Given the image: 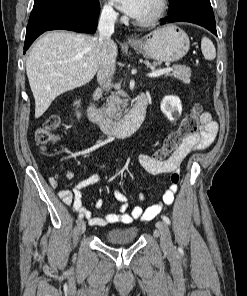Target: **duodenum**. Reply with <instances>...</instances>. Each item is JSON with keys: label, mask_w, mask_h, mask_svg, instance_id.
Wrapping results in <instances>:
<instances>
[{"label": "duodenum", "mask_w": 247, "mask_h": 296, "mask_svg": "<svg viewBox=\"0 0 247 296\" xmlns=\"http://www.w3.org/2000/svg\"><path fill=\"white\" fill-rule=\"evenodd\" d=\"M102 93L100 88L93 94V100H96ZM149 103V94L141 93L129 113L121 119H113L104 113L94 101L87 107L89 118L97 123L103 132L115 137H128L140 129L145 118L146 108Z\"/></svg>", "instance_id": "duodenum-1"}]
</instances>
